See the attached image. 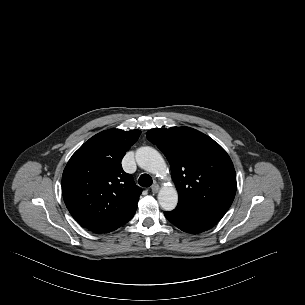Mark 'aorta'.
Instances as JSON below:
<instances>
[{"mask_svg": "<svg viewBox=\"0 0 305 305\" xmlns=\"http://www.w3.org/2000/svg\"><path fill=\"white\" fill-rule=\"evenodd\" d=\"M136 162L142 169L155 174L166 172V163L161 154L152 147L144 146L136 151ZM158 202L162 209L173 210L178 203V193L173 186H163L158 193Z\"/></svg>", "mask_w": 305, "mask_h": 305, "instance_id": "obj_1", "label": "aorta"}]
</instances>
